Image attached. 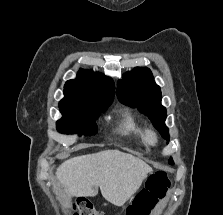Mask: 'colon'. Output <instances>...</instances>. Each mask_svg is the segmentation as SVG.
Listing matches in <instances>:
<instances>
[{"mask_svg":"<svg viewBox=\"0 0 223 215\" xmlns=\"http://www.w3.org/2000/svg\"><path fill=\"white\" fill-rule=\"evenodd\" d=\"M170 186V181L164 171L151 175L146 187L136 196L132 205L127 209L128 215H147L158 199L162 198ZM73 215H105L96 210L90 203L79 201L74 206Z\"/></svg>","mask_w":223,"mask_h":215,"instance_id":"colon-1","label":"colon"}]
</instances>
